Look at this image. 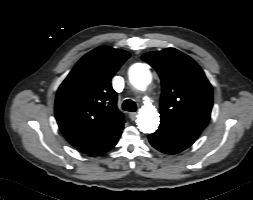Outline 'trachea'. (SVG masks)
I'll return each instance as SVG.
<instances>
[{
	"label": "trachea",
	"instance_id": "1",
	"mask_svg": "<svg viewBox=\"0 0 253 200\" xmlns=\"http://www.w3.org/2000/svg\"><path fill=\"white\" fill-rule=\"evenodd\" d=\"M123 110L129 111V112H135L136 111V104L131 99H126L123 102Z\"/></svg>",
	"mask_w": 253,
	"mask_h": 200
}]
</instances>
